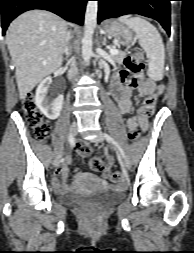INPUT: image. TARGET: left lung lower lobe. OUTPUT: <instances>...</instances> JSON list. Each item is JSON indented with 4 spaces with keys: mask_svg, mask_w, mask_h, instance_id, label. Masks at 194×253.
<instances>
[{
    "mask_svg": "<svg viewBox=\"0 0 194 253\" xmlns=\"http://www.w3.org/2000/svg\"><path fill=\"white\" fill-rule=\"evenodd\" d=\"M99 1L98 23L107 18L126 14H139L160 22L170 35L171 0H97Z\"/></svg>",
    "mask_w": 194,
    "mask_h": 253,
    "instance_id": "0a47b994",
    "label": "left lung lower lobe"
}]
</instances>
